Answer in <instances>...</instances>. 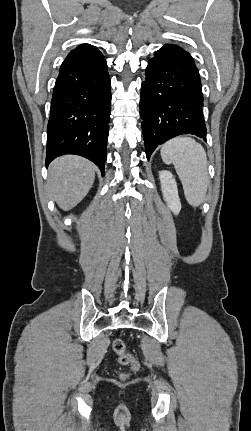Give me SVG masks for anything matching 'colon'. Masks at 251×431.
Masks as SVG:
<instances>
[{"instance_id": "1", "label": "colon", "mask_w": 251, "mask_h": 431, "mask_svg": "<svg viewBox=\"0 0 251 431\" xmlns=\"http://www.w3.org/2000/svg\"><path fill=\"white\" fill-rule=\"evenodd\" d=\"M112 349L117 355V361L120 365L130 366L132 370H137L139 367L136 358L127 351L125 342L120 337H116L112 341Z\"/></svg>"}]
</instances>
